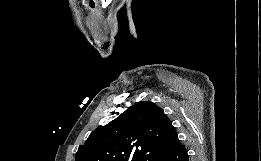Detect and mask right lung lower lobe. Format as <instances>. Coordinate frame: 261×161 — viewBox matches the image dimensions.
Listing matches in <instances>:
<instances>
[{"label": "right lung lower lobe", "mask_w": 261, "mask_h": 161, "mask_svg": "<svg viewBox=\"0 0 261 161\" xmlns=\"http://www.w3.org/2000/svg\"><path fill=\"white\" fill-rule=\"evenodd\" d=\"M150 161H189V159L185 146L180 144L169 152L154 156Z\"/></svg>", "instance_id": "1"}]
</instances>
